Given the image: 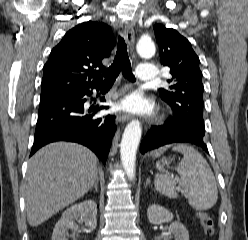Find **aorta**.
Here are the masks:
<instances>
[{"mask_svg": "<svg viewBox=\"0 0 248 240\" xmlns=\"http://www.w3.org/2000/svg\"><path fill=\"white\" fill-rule=\"evenodd\" d=\"M138 54L143 58H150L155 54V44L150 38H141L136 46ZM142 128L138 120L129 122L122 135L120 157L122 166L129 180L135 178V161Z\"/></svg>", "mask_w": 248, "mask_h": 240, "instance_id": "obj_1", "label": "aorta"}]
</instances>
